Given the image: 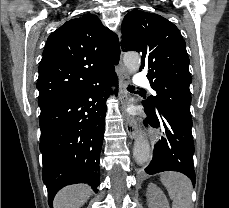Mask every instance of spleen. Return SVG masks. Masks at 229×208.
<instances>
[{
	"label": "spleen",
	"mask_w": 229,
	"mask_h": 208,
	"mask_svg": "<svg viewBox=\"0 0 229 208\" xmlns=\"http://www.w3.org/2000/svg\"><path fill=\"white\" fill-rule=\"evenodd\" d=\"M161 182L173 200L172 208H193L192 184L187 176L177 172H164L161 174Z\"/></svg>",
	"instance_id": "1"
}]
</instances>
